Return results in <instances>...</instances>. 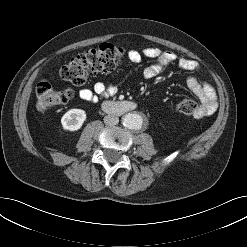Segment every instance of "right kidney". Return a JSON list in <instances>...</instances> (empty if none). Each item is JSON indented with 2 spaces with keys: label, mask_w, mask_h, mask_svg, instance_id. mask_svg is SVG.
I'll return each instance as SVG.
<instances>
[{
  "label": "right kidney",
  "mask_w": 247,
  "mask_h": 247,
  "mask_svg": "<svg viewBox=\"0 0 247 247\" xmlns=\"http://www.w3.org/2000/svg\"><path fill=\"white\" fill-rule=\"evenodd\" d=\"M86 120V112L82 109H71L67 111L61 118L64 130L77 131Z\"/></svg>",
  "instance_id": "obj_1"
}]
</instances>
